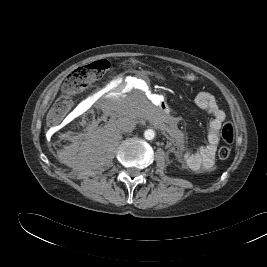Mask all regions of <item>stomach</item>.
<instances>
[{
    "instance_id": "0dacf381",
    "label": "stomach",
    "mask_w": 267,
    "mask_h": 267,
    "mask_svg": "<svg viewBox=\"0 0 267 267\" xmlns=\"http://www.w3.org/2000/svg\"><path fill=\"white\" fill-rule=\"evenodd\" d=\"M186 78L189 79V80H193L194 76L188 75Z\"/></svg>"
}]
</instances>
